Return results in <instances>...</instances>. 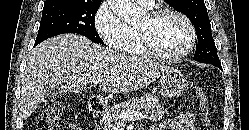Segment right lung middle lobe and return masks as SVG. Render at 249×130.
<instances>
[{
  "mask_svg": "<svg viewBox=\"0 0 249 130\" xmlns=\"http://www.w3.org/2000/svg\"><path fill=\"white\" fill-rule=\"evenodd\" d=\"M100 4L62 0L44 5L35 45L64 33H78L94 43L104 44L94 24Z\"/></svg>",
  "mask_w": 249,
  "mask_h": 130,
  "instance_id": "dd1d6c3e",
  "label": "right lung middle lobe"
}]
</instances>
